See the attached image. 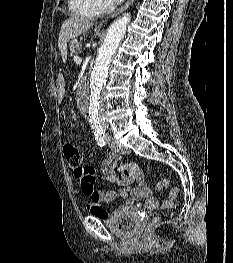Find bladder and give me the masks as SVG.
<instances>
[{
    "instance_id": "31cf9c89",
    "label": "bladder",
    "mask_w": 233,
    "mask_h": 263,
    "mask_svg": "<svg viewBox=\"0 0 233 263\" xmlns=\"http://www.w3.org/2000/svg\"><path fill=\"white\" fill-rule=\"evenodd\" d=\"M139 215L134 209L118 208L105 223L108 229L118 237L131 238L136 233Z\"/></svg>"
}]
</instances>
